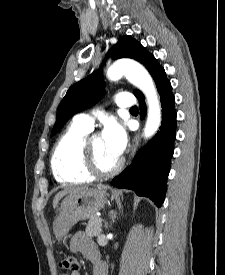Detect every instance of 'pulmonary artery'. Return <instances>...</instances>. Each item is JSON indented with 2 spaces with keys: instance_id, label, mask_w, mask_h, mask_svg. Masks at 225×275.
Masks as SVG:
<instances>
[{
  "instance_id": "1",
  "label": "pulmonary artery",
  "mask_w": 225,
  "mask_h": 275,
  "mask_svg": "<svg viewBox=\"0 0 225 275\" xmlns=\"http://www.w3.org/2000/svg\"><path fill=\"white\" fill-rule=\"evenodd\" d=\"M115 103L120 108H132L136 105V100L131 93L120 92L115 96ZM73 121L82 127L92 129L94 125V119L89 114H77Z\"/></svg>"
}]
</instances>
